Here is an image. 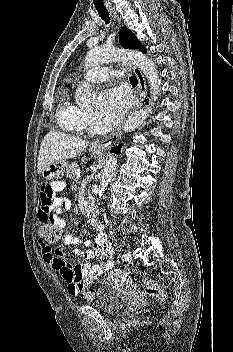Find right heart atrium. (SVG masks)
Instances as JSON below:
<instances>
[{"label": "right heart atrium", "instance_id": "1", "mask_svg": "<svg viewBox=\"0 0 233 352\" xmlns=\"http://www.w3.org/2000/svg\"><path fill=\"white\" fill-rule=\"evenodd\" d=\"M83 122L85 127L89 126L92 122L91 117L87 112H83Z\"/></svg>", "mask_w": 233, "mask_h": 352}]
</instances>
